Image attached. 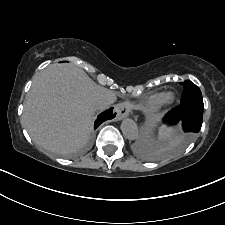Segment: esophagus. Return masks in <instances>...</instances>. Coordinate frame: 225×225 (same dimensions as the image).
Wrapping results in <instances>:
<instances>
[{"label":"esophagus","mask_w":225,"mask_h":225,"mask_svg":"<svg viewBox=\"0 0 225 225\" xmlns=\"http://www.w3.org/2000/svg\"><path fill=\"white\" fill-rule=\"evenodd\" d=\"M115 111L117 112L116 120H121V119L127 117L130 113L128 106L124 103L117 104L115 107Z\"/></svg>","instance_id":"34e87169"}]
</instances>
